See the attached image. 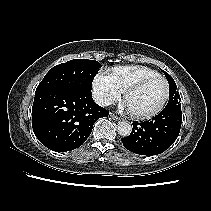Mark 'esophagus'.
<instances>
[{
	"label": "esophagus",
	"instance_id": "esophagus-1",
	"mask_svg": "<svg viewBox=\"0 0 211 211\" xmlns=\"http://www.w3.org/2000/svg\"><path fill=\"white\" fill-rule=\"evenodd\" d=\"M110 117L113 119V120H120V117L116 116L115 114L113 113H110Z\"/></svg>",
	"mask_w": 211,
	"mask_h": 211
}]
</instances>
